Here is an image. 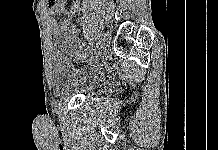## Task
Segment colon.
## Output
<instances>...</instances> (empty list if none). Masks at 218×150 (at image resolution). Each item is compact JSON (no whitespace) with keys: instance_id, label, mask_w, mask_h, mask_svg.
Here are the masks:
<instances>
[{"instance_id":"colon-1","label":"colon","mask_w":218,"mask_h":150,"mask_svg":"<svg viewBox=\"0 0 218 150\" xmlns=\"http://www.w3.org/2000/svg\"><path fill=\"white\" fill-rule=\"evenodd\" d=\"M49 2H50L51 4H54L55 2H57V0H49Z\"/></svg>"}]
</instances>
